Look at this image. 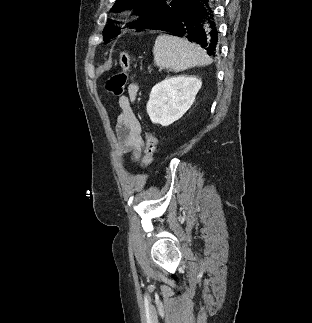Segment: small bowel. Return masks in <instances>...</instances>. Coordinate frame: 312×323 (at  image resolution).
Listing matches in <instances>:
<instances>
[{"instance_id":"c3829d8e","label":"small bowel","mask_w":312,"mask_h":323,"mask_svg":"<svg viewBox=\"0 0 312 323\" xmlns=\"http://www.w3.org/2000/svg\"><path fill=\"white\" fill-rule=\"evenodd\" d=\"M137 93L138 85L131 83L127 94L119 97L116 123L115 152L120 157L130 153L133 161L141 158L144 146L142 127L133 108Z\"/></svg>"}]
</instances>
